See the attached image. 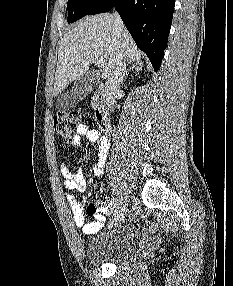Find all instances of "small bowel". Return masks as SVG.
I'll return each mask as SVG.
<instances>
[{
	"label": "small bowel",
	"mask_w": 233,
	"mask_h": 286,
	"mask_svg": "<svg viewBox=\"0 0 233 286\" xmlns=\"http://www.w3.org/2000/svg\"><path fill=\"white\" fill-rule=\"evenodd\" d=\"M86 138L97 148V159L92 167V173L99 176L103 173L109 142L99 131L91 129L86 124H80L76 128V133L67 144V148L81 145L82 139ZM60 172L64 186L69 191H84L86 188V178L81 168L70 169L66 165H60ZM67 201L71 207L72 218L76 227L82 228L84 234L93 235L102 227L105 221V214L108 212L107 199L101 198L85 207V201L78 200L73 194L67 195ZM85 211L91 217V221L86 222Z\"/></svg>",
	"instance_id": "obj_1"
}]
</instances>
